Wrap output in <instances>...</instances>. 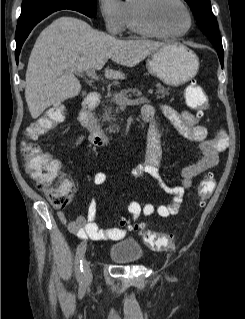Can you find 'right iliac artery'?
<instances>
[{
  "instance_id": "right-iliac-artery-1",
  "label": "right iliac artery",
  "mask_w": 245,
  "mask_h": 319,
  "mask_svg": "<svg viewBox=\"0 0 245 319\" xmlns=\"http://www.w3.org/2000/svg\"><path fill=\"white\" fill-rule=\"evenodd\" d=\"M85 250H86V246L83 245V243H81L77 248L76 257H75V273H76L77 281L79 282L81 287H83L84 285L82 263H83Z\"/></svg>"
}]
</instances>
